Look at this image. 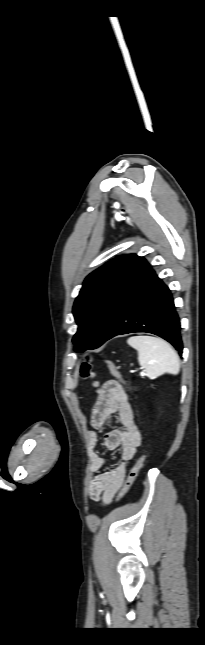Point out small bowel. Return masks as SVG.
Here are the masks:
<instances>
[{
	"label": "small bowel",
	"instance_id": "c3829d8e",
	"mask_svg": "<svg viewBox=\"0 0 205 645\" xmlns=\"http://www.w3.org/2000/svg\"><path fill=\"white\" fill-rule=\"evenodd\" d=\"M114 416L118 417L121 427L106 432L103 435V445L108 450L121 447V459L110 470L101 472L107 459L96 451L97 431ZM91 426L92 430L86 434L90 470L94 474L90 483V496L107 505L123 485L127 468L142 443L131 402L122 389H110L108 382L102 386L92 411Z\"/></svg>",
	"mask_w": 205,
	"mask_h": 645
}]
</instances>
